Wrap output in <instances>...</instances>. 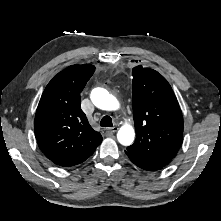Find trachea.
Returning <instances> with one entry per match:
<instances>
[{
  "mask_svg": "<svg viewBox=\"0 0 221 221\" xmlns=\"http://www.w3.org/2000/svg\"><path fill=\"white\" fill-rule=\"evenodd\" d=\"M100 126H102V127L113 126L112 118L110 116H104L100 121Z\"/></svg>",
  "mask_w": 221,
  "mask_h": 221,
  "instance_id": "1",
  "label": "trachea"
}]
</instances>
